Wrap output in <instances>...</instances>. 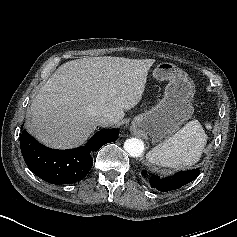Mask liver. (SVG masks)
I'll return each mask as SVG.
<instances>
[{
	"instance_id": "6515ba94",
	"label": "liver",
	"mask_w": 237,
	"mask_h": 237,
	"mask_svg": "<svg viewBox=\"0 0 237 237\" xmlns=\"http://www.w3.org/2000/svg\"><path fill=\"white\" fill-rule=\"evenodd\" d=\"M154 59L92 57L61 65L41 87L30 107L29 131L52 148L83 143L110 114L119 123L141 100Z\"/></svg>"
}]
</instances>
